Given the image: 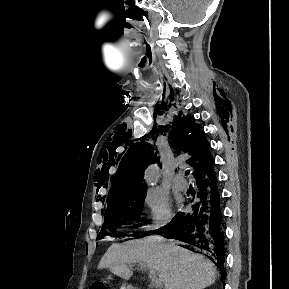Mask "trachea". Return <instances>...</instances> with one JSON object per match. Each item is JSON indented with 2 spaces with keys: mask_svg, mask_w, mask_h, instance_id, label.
<instances>
[{
  "mask_svg": "<svg viewBox=\"0 0 289 289\" xmlns=\"http://www.w3.org/2000/svg\"><path fill=\"white\" fill-rule=\"evenodd\" d=\"M185 174L188 175V174H189V171H185Z\"/></svg>",
  "mask_w": 289,
  "mask_h": 289,
  "instance_id": "3493384b",
  "label": "trachea"
}]
</instances>
